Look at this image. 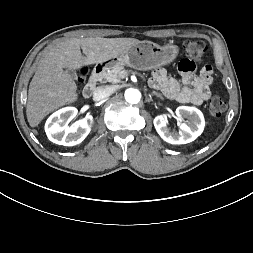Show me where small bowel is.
I'll return each instance as SVG.
<instances>
[{"label": "small bowel", "mask_w": 253, "mask_h": 253, "mask_svg": "<svg viewBox=\"0 0 253 253\" xmlns=\"http://www.w3.org/2000/svg\"><path fill=\"white\" fill-rule=\"evenodd\" d=\"M199 64L198 59L182 58L176 65V72L182 76L181 82L170 77L165 69L158 68L153 71L149 84L170 100L201 105L211 96L209 86L213 68L209 63L200 67ZM199 70L202 73L198 75Z\"/></svg>", "instance_id": "c3829d8e"}]
</instances>
